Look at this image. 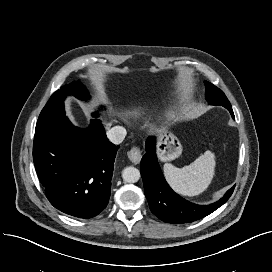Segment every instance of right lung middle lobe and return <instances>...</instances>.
Returning <instances> with one entry per match:
<instances>
[{"label":"right lung middle lobe","instance_id":"obj_1","mask_svg":"<svg viewBox=\"0 0 272 272\" xmlns=\"http://www.w3.org/2000/svg\"><path fill=\"white\" fill-rule=\"evenodd\" d=\"M68 94L74 95L78 99L86 100L89 94L85 86L80 82H72L71 84L61 87L52 94L49 101L41 111L37 125L56 122L65 118L64 99Z\"/></svg>","mask_w":272,"mask_h":272}]
</instances>
